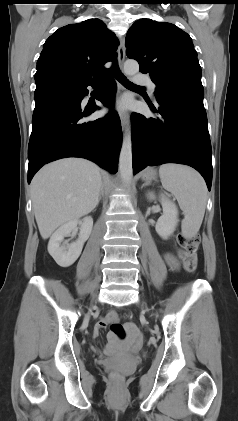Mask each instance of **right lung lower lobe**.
I'll return each mask as SVG.
<instances>
[{
	"instance_id": "1",
	"label": "right lung lower lobe",
	"mask_w": 238,
	"mask_h": 421,
	"mask_svg": "<svg viewBox=\"0 0 238 421\" xmlns=\"http://www.w3.org/2000/svg\"><path fill=\"white\" fill-rule=\"evenodd\" d=\"M96 81L75 83L44 80L36 83L32 133L28 146V183L46 163L65 157L89 159L111 173L117 172L122 142L119 116L110 110L103 118L87 121L96 106L81 105L87 86ZM116 84L111 80L97 99L111 107Z\"/></svg>"
}]
</instances>
